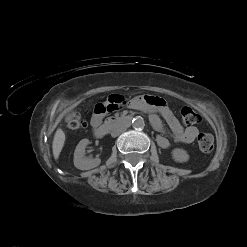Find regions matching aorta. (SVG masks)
I'll return each mask as SVG.
<instances>
[{
    "label": "aorta",
    "mask_w": 247,
    "mask_h": 247,
    "mask_svg": "<svg viewBox=\"0 0 247 247\" xmlns=\"http://www.w3.org/2000/svg\"><path fill=\"white\" fill-rule=\"evenodd\" d=\"M144 120L142 117H136L132 120V126L135 129H142L144 127Z\"/></svg>",
    "instance_id": "obj_1"
}]
</instances>
